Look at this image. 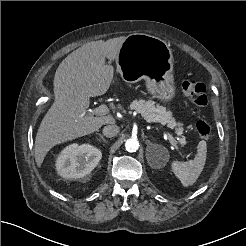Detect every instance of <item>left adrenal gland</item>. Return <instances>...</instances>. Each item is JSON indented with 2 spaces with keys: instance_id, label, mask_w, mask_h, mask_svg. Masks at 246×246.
I'll list each match as a JSON object with an SVG mask.
<instances>
[{
  "instance_id": "obj_1",
  "label": "left adrenal gland",
  "mask_w": 246,
  "mask_h": 246,
  "mask_svg": "<svg viewBox=\"0 0 246 246\" xmlns=\"http://www.w3.org/2000/svg\"><path fill=\"white\" fill-rule=\"evenodd\" d=\"M146 143L148 144V147L149 146H156V144H152L149 140H146Z\"/></svg>"
}]
</instances>
